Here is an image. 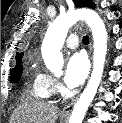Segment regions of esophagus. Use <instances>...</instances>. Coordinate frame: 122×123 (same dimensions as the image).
Returning a JSON list of instances; mask_svg holds the SVG:
<instances>
[{"mask_svg": "<svg viewBox=\"0 0 122 123\" xmlns=\"http://www.w3.org/2000/svg\"><path fill=\"white\" fill-rule=\"evenodd\" d=\"M89 54H90V56L92 55V41L90 42ZM91 59H92V57H91ZM75 102H76V99H73L68 105H66L63 108L61 114L64 115V116L69 115L72 112V109L74 107Z\"/></svg>", "mask_w": 122, "mask_h": 123, "instance_id": "esophagus-1", "label": "esophagus"}]
</instances>
